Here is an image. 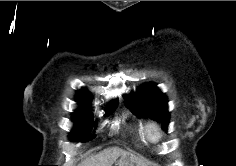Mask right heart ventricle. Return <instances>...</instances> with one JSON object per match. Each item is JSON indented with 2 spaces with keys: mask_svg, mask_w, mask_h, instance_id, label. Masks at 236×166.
<instances>
[{
  "mask_svg": "<svg viewBox=\"0 0 236 166\" xmlns=\"http://www.w3.org/2000/svg\"><path fill=\"white\" fill-rule=\"evenodd\" d=\"M136 132L137 134L142 138V139H146L145 138V133H144V125L142 123H140L137 128H136Z\"/></svg>",
  "mask_w": 236,
  "mask_h": 166,
  "instance_id": "obj_1",
  "label": "right heart ventricle"
}]
</instances>
